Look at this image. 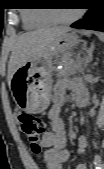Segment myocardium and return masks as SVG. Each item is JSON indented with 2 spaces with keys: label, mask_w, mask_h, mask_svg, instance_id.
<instances>
[{
  "label": "myocardium",
  "mask_w": 104,
  "mask_h": 169,
  "mask_svg": "<svg viewBox=\"0 0 104 169\" xmlns=\"http://www.w3.org/2000/svg\"><path fill=\"white\" fill-rule=\"evenodd\" d=\"M82 15V11L78 10L75 14H73L70 17H59L57 16V14L55 12H49L47 14V16L54 22V23H62V24H69V23H73L74 21H76L77 19H79Z\"/></svg>",
  "instance_id": "f54148a6"
}]
</instances>
